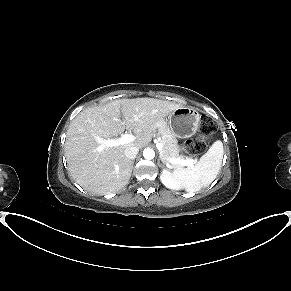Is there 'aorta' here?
<instances>
[{"mask_svg": "<svg viewBox=\"0 0 291 291\" xmlns=\"http://www.w3.org/2000/svg\"><path fill=\"white\" fill-rule=\"evenodd\" d=\"M143 156L147 160H152L155 157V152L151 148H145L143 151Z\"/></svg>", "mask_w": 291, "mask_h": 291, "instance_id": "762f6f07", "label": "aorta"}]
</instances>
